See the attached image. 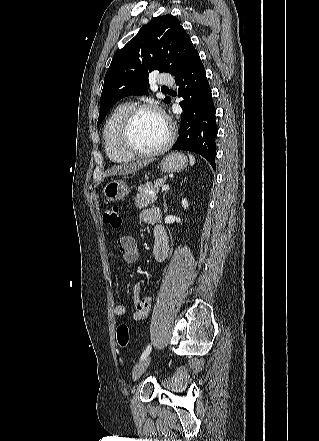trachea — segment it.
Returning a JSON list of instances; mask_svg holds the SVG:
<instances>
[{"mask_svg":"<svg viewBox=\"0 0 319 441\" xmlns=\"http://www.w3.org/2000/svg\"><path fill=\"white\" fill-rule=\"evenodd\" d=\"M162 89H168L167 87H162Z\"/></svg>","mask_w":319,"mask_h":441,"instance_id":"1","label":"trachea"}]
</instances>
